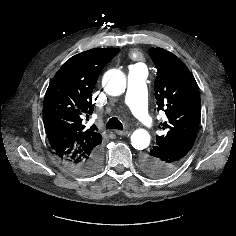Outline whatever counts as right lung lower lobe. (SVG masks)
<instances>
[{
    "label": "right lung lower lobe",
    "instance_id": "98d812e1",
    "mask_svg": "<svg viewBox=\"0 0 236 236\" xmlns=\"http://www.w3.org/2000/svg\"><path fill=\"white\" fill-rule=\"evenodd\" d=\"M103 162V152L101 148L96 149L88 159L77 162H66L63 160L64 165L70 169L72 172L81 175H91L96 173L102 165Z\"/></svg>",
    "mask_w": 236,
    "mask_h": 236
}]
</instances>
